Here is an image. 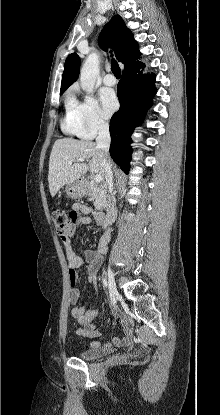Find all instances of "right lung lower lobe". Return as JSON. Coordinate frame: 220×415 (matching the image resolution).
Segmentation results:
<instances>
[{
  "instance_id": "right-lung-lower-lobe-1",
  "label": "right lung lower lobe",
  "mask_w": 220,
  "mask_h": 415,
  "mask_svg": "<svg viewBox=\"0 0 220 415\" xmlns=\"http://www.w3.org/2000/svg\"><path fill=\"white\" fill-rule=\"evenodd\" d=\"M141 67L144 68L145 65L123 72L117 86L120 109L110 121V155L125 173L130 168L131 134L142 122L146 110L151 106L152 96L156 93L155 75L141 74Z\"/></svg>"
}]
</instances>
